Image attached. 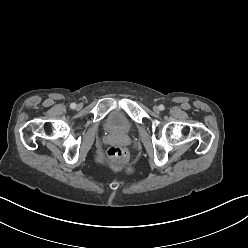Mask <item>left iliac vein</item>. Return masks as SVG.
Returning a JSON list of instances; mask_svg holds the SVG:
<instances>
[{
    "label": "left iliac vein",
    "mask_w": 248,
    "mask_h": 248,
    "mask_svg": "<svg viewBox=\"0 0 248 248\" xmlns=\"http://www.w3.org/2000/svg\"><path fill=\"white\" fill-rule=\"evenodd\" d=\"M153 110H154L155 112H159V111H160L159 106H156V105H155V106L153 107Z\"/></svg>",
    "instance_id": "4c4485c4"
}]
</instances>
